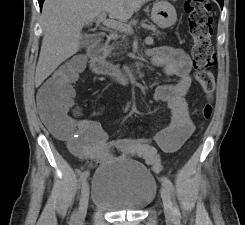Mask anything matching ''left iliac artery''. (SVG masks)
Returning a JSON list of instances; mask_svg holds the SVG:
<instances>
[{
	"instance_id": "1",
	"label": "left iliac artery",
	"mask_w": 245,
	"mask_h": 225,
	"mask_svg": "<svg viewBox=\"0 0 245 225\" xmlns=\"http://www.w3.org/2000/svg\"><path fill=\"white\" fill-rule=\"evenodd\" d=\"M161 181H162V184L170 191V193L174 197V186H173L172 182L168 178H166V177H162L161 178ZM173 211H174L175 215H177V216L180 215V211H179V208H178L176 202H174Z\"/></svg>"
}]
</instances>
